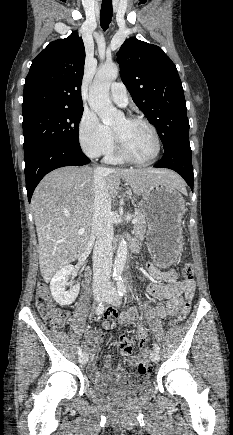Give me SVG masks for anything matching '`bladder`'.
<instances>
[{"label": "bladder", "instance_id": "1", "mask_svg": "<svg viewBox=\"0 0 233 435\" xmlns=\"http://www.w3.org/2000/svg\"><path fill=\"white\" fill-rule=\"evenodd\" d=\"M149 375L144 376V381H139L133 384H127L123 382H104L97 387V390L103 394L117 396V397H133L137 395L142 390H146L150 387V383L147 382Z\"/></svg>", "mask_w": 233, "mask_h": 435}]
</instances>
